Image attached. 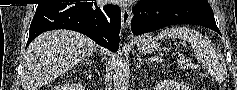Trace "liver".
<instances>
[{
  "mask_svg": "<svg viewBox=\"0 0 237 90\" xmlns=\"http://www.w3.org/2000/svg\"><path fill=\"white\" fill-rule=\"evenodd\" d=\"M97 44L71 30H52L35 38L23 58L25 90H39L61 74H65L81 60L92 56Z\"/></svg>",
  "mask_w": 237,
  "mask_h": 90,
  "instance_id": "liver-1",
  "label": "liver"
}]
</instances>
